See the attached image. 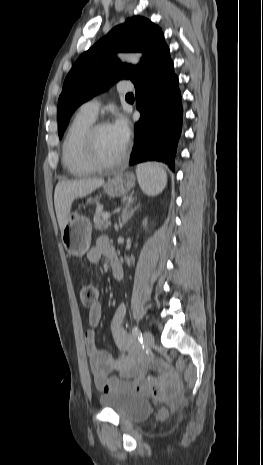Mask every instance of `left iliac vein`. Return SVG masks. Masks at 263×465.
Here are the masks:
<instances>
[{"label":"left iliac vein","instance_id":"obj_1","mask_svg":"<svg viewBox=\"0 0 263 465\" xmlns=\"http://www.w3.org/2000/svg\"><path fill=\"white\" fill-rule=\"evenodd\" d=\"M143 338H144L145 345L149 348L152 347V345L154 344L153 334L149 331H144Z\"/></svg>","mask_w":263,"mask_h":465}]
</instances>
